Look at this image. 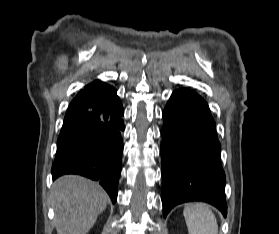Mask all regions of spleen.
Returning a JSON list of instances; mask_svg holds the SVG:
<instances>
[{
	"label": "spleen",
	"mask_w": 279,
	"mask_h": 234,
	"mask_svg": "<svg viewBox=\"0 0 279 234\" xmlns=\"http://www.w3.org/2000/svg\"><path fill=\"white\" fill-rule=\"evenodd\" d=\"M189 234H218L215 215L203 203L189 204L183 211Z\"/></svg>",
	"instance_id": "1"
}]
</instances>
